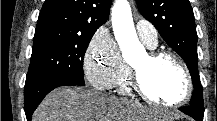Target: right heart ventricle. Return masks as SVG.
Wrapping results in <instances>:
<instances>
[{"label": "right heart ventricle", "mask_w": 217, "mask_h": 121, "mask_svg": "<svg viewBox=\"0 0 217 121\" xmlns=\"http://www.w3.org/2000/svg\"><path fill=\"white\" fill-rule=\"evenodd\" d=\"M115 86H118V91L120 94L128 95L132 93L131 72L128 67L124 76L118 81Z\"/></svg>", "instance_id": "right-heart-ventricle-1"}]
</instances>
